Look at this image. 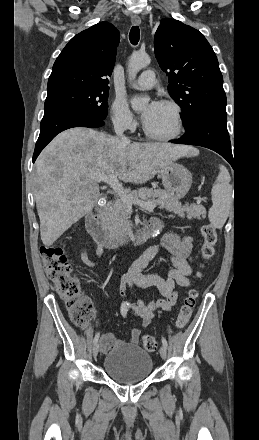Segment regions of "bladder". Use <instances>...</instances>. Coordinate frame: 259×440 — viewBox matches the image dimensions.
<instances>
[{"label":"bladder","instance_id":"1","mask_svg":"<svg viewBox=\"0 0 259 440\" xmlns=\"http://www.w3.org/2000/svg\"><path fill=\"white\" fill-rule=\"evenodd\" d=\"M105 373L121 384H134L148 378L153 370L151 355L138 345H120L103 362Z\"/></svg>","mask_w":259,"mask_h":440}]
</instances>
